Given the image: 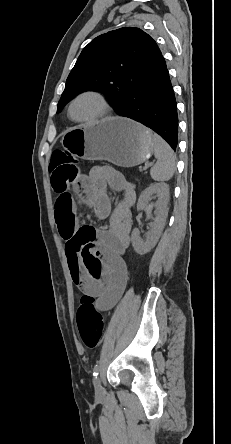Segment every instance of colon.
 <instances>
[{
	"label": "colon",
	"instance_id": "colon-1",
	"mask_svg": "<svg viewBox=\"0 0 231 444\" xmlns=\"http://www.w3.org/2000/svg\"><path fill=\"white\" fill-rule=\"evenodd\" d=\"M49 172L55 186L64 187L72 184L80 174L79 162L64 150H56L51 156ZM82 236H94L96 230L90 226H81ZM78 329L84 345L95 348L101 341L104 328V316L93 308V298L82 295L79 298L77 312Z\"/></svg>",
	"mask_w": 231,
	"mask_h": 444
}]
</instances>
